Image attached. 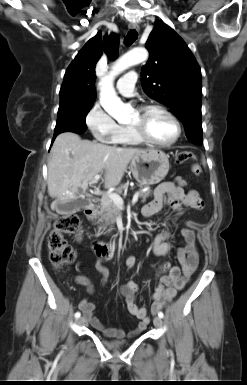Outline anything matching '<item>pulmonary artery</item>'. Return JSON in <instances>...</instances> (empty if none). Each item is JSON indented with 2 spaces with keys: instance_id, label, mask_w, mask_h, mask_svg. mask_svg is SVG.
Listing matches in <instances>:
<instances>
[{
  "instance_id": "obj_1",
  "label": "pulmonary artery",
  "mask_w": 247,
  "mask_h": 385,
  "mask_svg": "<svg viewBox=\"0 0 247 385\" xmlns=\"http://www.w3.org/2000/svg\"><path fill=\"white\" fill-rule=\"evenodd\" d=\"M136 80H137L136 72L134 71L127 72L117 82L118 92L124 97L134 96Z\"/></svg>"
}]
</instances>
